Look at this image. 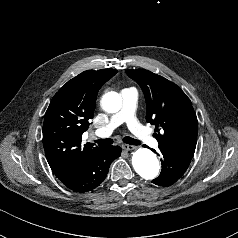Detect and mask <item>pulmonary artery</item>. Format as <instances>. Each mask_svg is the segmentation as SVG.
<instances>
[{
	"mask_svg": "<svg viewBox=\"0 0 238 238\" xmlns=\"http://www.w3.org/2000/svg\"><path fill=\"white\" fill-rule=\"evenodd\" d=\"M122 108L114 114L109 123L96 130L95 135L98 137H107L122 123H126L130 131L142 142L156 147V139L150 132L138 121L135 111L138 101V93L134 88H126L121 91Z\"/></svg>",
	"mask_w": 238,
	"mask_h": 238,
	"instance_id": "obj_1",
	"label": "pulmonary artery"
}]
</instances>
